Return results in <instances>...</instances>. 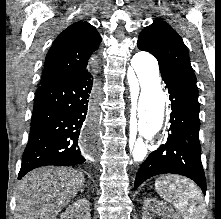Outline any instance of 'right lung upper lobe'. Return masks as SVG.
<instances>
[{"mask_svg": "<svg viewBox=\"0 0 221 219\" xmlns=\"http://www.w3.org/2000/svg\"><path fill=\"white\" fill-rule=\"evenodd\" d=\"M101 37L86 21H78L62 31L51 46L41 77V85L58 82L90 67V57L97 50Z\"/></svg>", "mask_w": 221, "mask_h": 219, "instance_id": "cb5924a9", "label": "right lung upper lobe"}]
</instances>
